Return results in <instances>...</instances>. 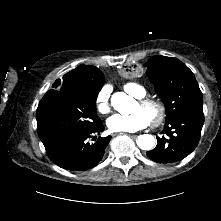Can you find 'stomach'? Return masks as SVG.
<instances>
[{"label":"stomach","mask_w":221,"mask_h":221,"mask_svg":"<svg viewBox=\"0 0 221 221\" xmlns=\"http://www.w3.org/2000/svg\"><path fill=\"white\" fill-rule=\"evenodd\" d=\"M138 67L136 64L131 62H124L120 66V73L127 79H134L138 75Z\"/></svg>","instance_id":"1"}]
</instances>
